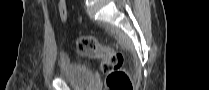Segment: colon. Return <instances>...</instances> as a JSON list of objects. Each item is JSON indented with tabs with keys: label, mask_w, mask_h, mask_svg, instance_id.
<instances>
[{
	"label": "colon",
	"mask_w": 209,
	"mask_h": 90,
	"mask_svg": "<svg viewBox=\"0 0 209 90\" xmlns=\"http://www.w3.org/2000/svg\"><path fill=\"white\" fill-rule=\"evenodd\" d=\"M58 14L61 21L67 20L66 1L60 0ZM80 56L100 61L101 70L106 75L109 90H133L132 82L124 70V56L121 52L101 44L94 35H83L77 40Z\"/></svg>",
	"instance_id": "5ec220e1"
}]
</instances>
